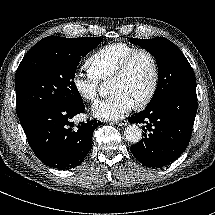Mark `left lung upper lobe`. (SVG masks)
<instances>
[{
  "label": "left lung upper lobe",
  "instance_id": "obj_1",
  "mask_svg": "<svg viewBox=\"0 0 215 215\" xmlns=\"http://www.w3.org/2000/svg\"><path fill=\"white\" fill-rule=\"evenodd\" d=\"M132 43L145 48L156 59L159 74L155 93L148 104L152 105L167 94L195 85V74L180 49L168 39H132Z\"/></svg>",
  "mask_w": 215,
  "mask_h": 215
}]
</instances>
